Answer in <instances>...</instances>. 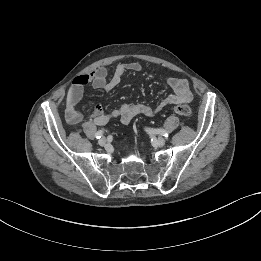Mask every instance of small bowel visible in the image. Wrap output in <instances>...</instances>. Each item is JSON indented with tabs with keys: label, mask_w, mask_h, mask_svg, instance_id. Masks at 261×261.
Instances as JSON below:
<instances>
[{
	"label": "small bowel",
	"mask_w": 261,
	"mask_h": 261,
	"mask_svg": "<svg viewBox=\"0 0 261 261\" xmlns=\"http://www.w3.org/2000/svg\"><path fill=\"white\" fill-rule=\"evenodd\" d=\"M142 66L137 62H126L116 66L113 75L107 79V69L99 67L87 74L77 76L68 91L67 96V119L70 123L76 124L81 121L82 116L75 108L82 99L84 88L91 84L93 88L109 92L120 82L127 71L140 72ZM165 81L172 90V93L161 100L157 105L151 106L143 103H124L120 107L106 113L100 104L93 106L92 120L96 125H105L112 118H119L122 124H128L134 117L144 115L153 117L167 105L190 103L193 99L189 83L186 79L177 77H166Z\"/></svg>",
	"instance_id": "1"
}]
</instances>
